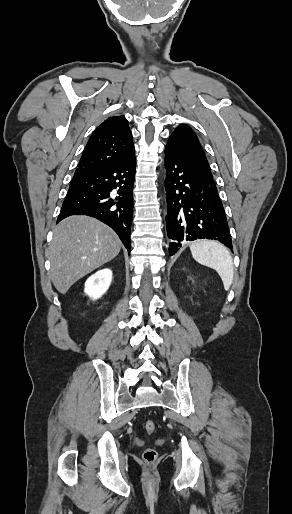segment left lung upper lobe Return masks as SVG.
I'll list each match as a JSON object with an SVG mask.
<instances>
[{"label":"left lung upper lobe","instance_id":"1","mask_svg":"<svg viewBox=\"0 0 292 514\" xmlns=\"http://www.w3.org/2000/svg\"><path fill=\"white\" fill-rule=\"evenodd\" d=\"M166 146L179 150L192 166L213 178L202 145L196 133L187 124H181L175 129Z\"/></svg>","mask_w":292,"mask_h":514}]
</instances>
